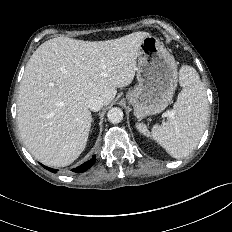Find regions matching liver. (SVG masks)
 I'll use <instances>...</instances> for the list:
<instances>
[{
	"label": "liver",
	"mask_w": 232,
	"mask_h": 232,
	"mask_svg": "<svg viewBox=\"0 0 232 232\" xmlns=\"http://www.w3.org/2000/svg\"><path fill=\"white\" fill-rule=\"evenodd\" d=\"M147 32L105 40L57 37L41 44L29 59L19 89L17 120L28 151L52 167L73 163L91 128L88 100L105 106L117 88L135 76L140 44Z\"/></svg>",
	"instance_id": "obj_1"
}]
</instances>
